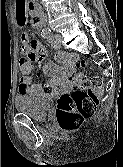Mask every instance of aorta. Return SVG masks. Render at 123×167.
Here are the masks:
<instances>
[{
	"label": "aorta",
	"instance_id": "762f6f07",
	"mask_svg": "<svg viewBox=\"0 0 123 167\" xmlns=\"http://www.w3.org/2000/svg\"><path fill=\"white\" fill-rule=\"evenodd\" d=\"M45 32H49V30H48V29H46V30H45Z\"/></svg>",
	"mask_w": 123,
	"mask_h": 167
}]
</instances>
